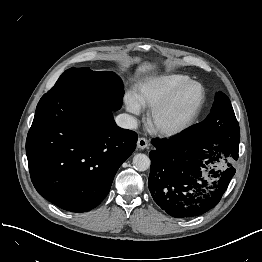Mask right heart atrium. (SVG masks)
I'll return each mask as SVG.
<instances>
[{
    "mask_svg": "<svg viewBox=\"0 0 262 262\" xmlns=\"http://www.w3.org/2000/svg\"><path fill=\"white\" fill-rule=\"evenodd\" d=\"M125 104L127 110L131 113H138L140 111V105L137 103L135 97L127 95L125 98Z\"/></svg>",
    "mask_w": 262,
    "mask_h": 262,
    "instance_id": "1",
    "label": "right heart atrium"
}]
</instances>
